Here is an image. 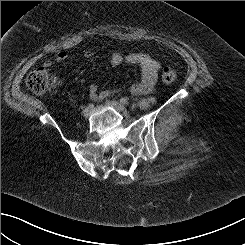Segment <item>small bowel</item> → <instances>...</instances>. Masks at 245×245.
I'll list each match as a JSON object with an SVG mask.
<instances>
[{
	"mask_svg": "<svg viewBox=\"0 0 245 245\" xmlns=\"http://www.w3.org/2000/svg\"><path fill=\"white\" fill-rule=\"evenodd\" d=\"M92 56L91 52L86 53V57L90 58ZM67 58V53L61 51L56 54L54 61L59 63L64 61ZM110 62L112 65L117 66L120 64L131 65V66H139L141 69V79L139 82L134 83L130 87V92L134 95H142L150 93L157 80L158 71L160 69V64L157 60L152 58L150 55L145 53H130V54H120L118 52H114L110 56ZM52 65V61L47 60L44 62V66L50 67ZM117 90H104L98 91V88L95 84L90 86L89 92L90 97L94 100H103Z\"/></svg>",
	"mask_w": 245,
	"mask_h": 245,
	"instance_id": "obj_1",
	"label": "small bowel"
}]
</instances>
